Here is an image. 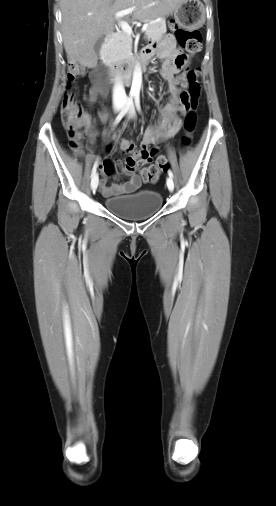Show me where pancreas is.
Listing matches in <instances>:
<instances>
[{
    "instance_id": "1",
    "label": "pancreas",
    "mask_w": 276,
    "mask_h": 506,
    "mask_svg": "<svg viewBox=\"0 0 276 506\" xmlns=\"http://www.w3.org/2000/svg\"><path fill=\"white\" fill-rule=\"evenodd\" d=\"M166 32V25L163 21L148 23L145 31L148 39L161 37ZM132 39L125 32L116 33L107 44L105 60L108 62L122 61L131 56Z\"/></svg>"
}]
</instances>
